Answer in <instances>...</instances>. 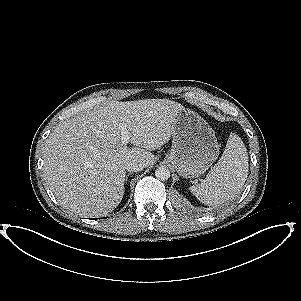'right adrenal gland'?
<instances>
[{
	"instance_id": "obj_1",
	"label": "right adrenal gland",
	"mask_w": 301,
	"mask_h": 301,
	"mask_svg": "<svg viewBox=\"0 0 301 301\" xmlns=\"http://www.w3.org/2000/svg\"><path fill=\"white\" fill-rule=\"evenodd\" d=\"M131 173H128L125 177V183H127L128 177L130 176Z\"/></svg>"
}]
</instances>
